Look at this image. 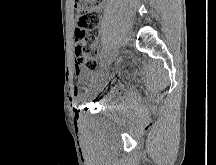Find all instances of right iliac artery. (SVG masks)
<instances>
[{
	"label": "right iliac artery",
	"mask_w": 216,
	"mask_h": 165,
	"mask_svg": "<svg viewBox=\"0 0 216 165\" xmlns=\"http://www.w3.org/2000/svg\"><path fill=\"white\" fill-rule=\"evenodd\" d=\"M115 45H116V44H115L114 42H113L111 45H108V46L110 47V48L108 49L109 52H108V54L106 55L108 58L114 54Z\"/></svg>",
	"instance_id": "1"
}]
</instances>
